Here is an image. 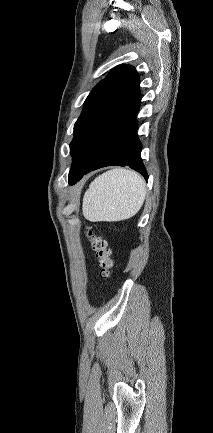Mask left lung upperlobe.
<instances>
[{"label":"left lung upper lobe","mask_w":213,"mask_h":433,"mask_svg":"<svg viewBox=\"0 0 213 433\" xmlns=\"http://www.w3.org/2000/svg\"><path fill=\"white\" fill-rule=\"evenodd\" d=\"M139 96V76L129 65L117 66L92 89L74 126L69 179L94 158Z\"/></svg>","instance_id":"obj_1"}]
</instances>
